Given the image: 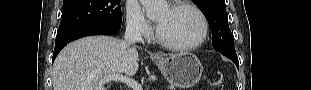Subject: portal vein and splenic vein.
<instances>
[{"mask_svg":"<svg viewBox=\"0 0 311 90\" xmlns=\"http://www.w3.org/2000/svg\"><path fill=\"white\" fill-rule=\"evenodd\" d=\"M110 80H116V81L123 82L127 84L128 86H130L133 90H142V86L140 84H138L136 81L126 76H123L121 74H114L111 76H106L104 78V81H110Z\"/></svg>","mask_w":311,"mask_h":90,"instance_id":"obj_1","label":"portal vein and splenic vein"}]
</instances>
